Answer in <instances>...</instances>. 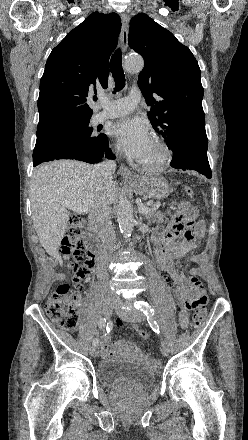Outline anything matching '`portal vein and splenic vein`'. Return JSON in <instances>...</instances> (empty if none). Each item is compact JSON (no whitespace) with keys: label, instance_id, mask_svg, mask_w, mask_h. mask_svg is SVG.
Returning a JSON list of instances; mask_svg holds the SVG:
<instances>
[{"label":"portal vein and splenic vein","instance_id":"obj_1","mask_svg":"<svg viewBox=\"0 0 248 440\" xmlns=\"http://www.w3.org/2000/svg\"><path fill=\"white\" fill-rule=\"evenodd\" d=\"M61 204L64 205L67 209L73 210L79 214H84L87 212L85 208L71 200H61ZM138 209L142 214H146L151 210V208L143 204H139Z\"/></svg>","mask_w":248,"mask_h":440}]
</instances>
